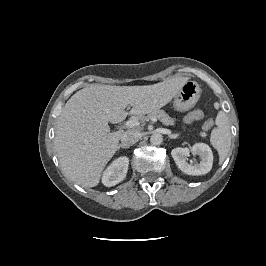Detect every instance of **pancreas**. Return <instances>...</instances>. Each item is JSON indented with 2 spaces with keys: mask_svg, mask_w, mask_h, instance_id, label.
I'll list each match as a JSON object with an SVG mask.
<instances>
[{
  "mask_svg": "<svg viewBox=\"0 0 266 266\" xmlns=\"http://www.w3.org/2000/svg\"><path fill=\"white\" fill-rule=\"evenodd\" d=\"M152 117L158 118L164 125L171 126L174 125L175 119L171 118L165 111L163 110H155L148 113L146 116H140L139 119L141 122H145L150 120Z\"/></svg>",
  "mask_w": 266,
  "mask_h": 266,
  "instance_id": "pancreas-1",
  "label": "pancreas"
}]
</instances>
